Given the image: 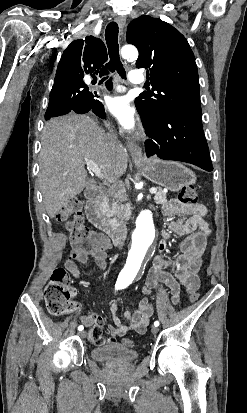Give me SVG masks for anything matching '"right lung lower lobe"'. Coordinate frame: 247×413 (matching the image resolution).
<instances>
[{
  "instance_id": "1",
  "label": "right lung lower lobe",
  "mask_w": 247,
  "mask_h": 413,
  "mask_svg": "<svg viewBox=\"0 0 247 413\" xmlns=\"http://www.w3.org/2000/svg\"><path fill=\"white\" fill-rule=\"evenodd\" d=\"M106 85L109 89H111V80L107 81ZM70 111H74L78 114H84L92 111L101 118L105 117L103 105L100 101L94 99L92 92H89L86 85L85 88L76 95L50 99L45 113V119L48 120L51 117L64 115Z\"/></svg>"
}]
</instances>
